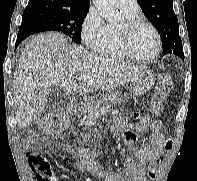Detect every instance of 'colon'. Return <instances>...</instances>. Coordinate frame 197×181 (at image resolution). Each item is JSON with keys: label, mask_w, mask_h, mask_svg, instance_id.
Instances as JSON below:
<instances>
[{"label": "colon", "mask_w": 197, "mask_h": 181, "mask_svg": "<svg viewBox=\"0 0 197 181\" xmlns=\"http://www.w3.org/2000/svg\"><path fill=\"white\" fill-rule=\"evenodd\" d=\"M172 85V79L169 74H161L155 88V109L157 112L162 111V102L168 96ZM69 124L67 114H58L45 118L43 129L51 135H58L65 131Z\"/></svg>", "instance_id": "obj_1"}]
</instances>
